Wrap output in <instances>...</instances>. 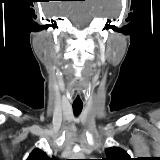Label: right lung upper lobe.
I'll return each instance as SVG.
<instances>
[{"instance_id": "1", "label": "right lung upper lobe", "mask_w": 160, "mask_h": 160, "mask_svg": "<svg viewBox=\"0 0 160 160\" xmlns=\"http://www.w3.org/2000/svg\"><path fill=\"white\" fill-rule=\"evenodd\" d=\"M26 160H56V158L54 156L52 158L48 157L44 151L36 148L32 151Z\"/></svg>"}]
</instances>
